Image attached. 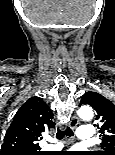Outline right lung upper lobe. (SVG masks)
I'll list each match as a JSON object with an SVG mask.
<instances>
[{
    "instance_id": "1",
    "label": "right lung upper lobe",
    "mask_w": 115,
    "mask_h": 155,
    "mask_svg": "<svg viewBox=\"0 0 115 155\" xmlns=\"http://www.w3.org/2000/svg\"><path fill=\"white\" fill-rule=\"evenodd\" d=\"M54 126L52 112L43 99L37 96L28 99L15 114L0 155H41L38 140Z\"/></svg>"
}]
</instances>
